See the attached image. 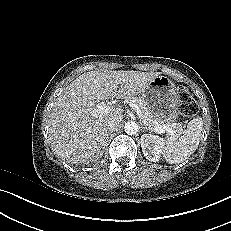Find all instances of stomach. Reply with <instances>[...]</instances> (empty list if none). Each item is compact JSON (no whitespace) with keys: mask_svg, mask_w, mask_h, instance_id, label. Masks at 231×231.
Returning a JSON list of instances; mask_svg holds the SVG:
<instances>
[{"mask_svg":"<svg viewBox=\"0 0 231 231\" xmlns=\"http://www.w3.org/2000/svg\"><path fill=\"white\" fill-rule=\"evenodd\" d=\"M141 101L154 115L167 123H173L177 117L178 90L166 76L155 77L140 95Z\"/></svg>","mask_w":231,"mask_h":231,"instance_id":"0dacf381","label":"stomach"}]
</instances>
